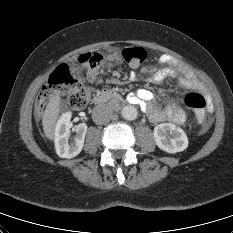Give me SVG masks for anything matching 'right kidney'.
<instances>
[{
	"instance_id": "right-kidney-1",
	"label": "right kidney",
	"mask_w": 233,
	"mask_h": 233,
	"mask_svg": "<svg viewBox=\"0 0 233 233\" xmlns=\"http://www.w3.org/2000/svg\"><path fill=\"white\" fill-rule=\"evenodd\" d=\"M70 119L71 112L63 113L55 128L56 153L59 157L67 159L77 156L82 151L87 132V125L85 123L75 126L72 130L75 132V137L69 142L71 135Z\"/></svg>"
}]
</instances>
